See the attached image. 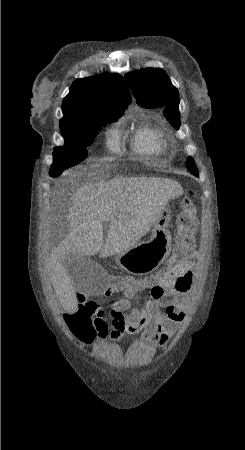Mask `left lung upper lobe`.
Instances as JSON below:
<instances>
[{"mask_svg": "<svg viewBox=\"0 0 245 450\" xmlns=\"http://www.w3.org/2000/svg\"><path fill=\"white\" fill-rule=\"evenodd\" d=\"M125 78L139 104L145 107L164 106L165 116L176 129H179V93L164 70L145 68L140 71H133L127 74ZM186 167L192 174L199 176L192 158L187 159Z\"/></svg>", "mask_w": 245, "mask_h": 450, "instance_id": "left-lung-upper-lobe-1", "label": "left lung upper lobe"}]
</instances>
